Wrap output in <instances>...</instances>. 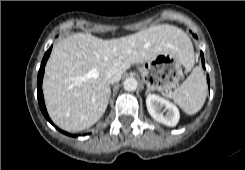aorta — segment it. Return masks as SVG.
I'll return each instance as SVG.
<instances>
[{
	"mask_svg": "<svg viewBox=\"0 0 245 170\" xmlns=\"http://www.w3.org/2000/svg\"><path fill=\"white\" fill-rule=\"evenodd\" d=\"M123 86L126 91H135L138 87V82L135 78L129 77L125 79Z\"/></svg>",
	"mask_w": 245,
	"mask_h": 170,
	"instance_id": "1",
	"label": "aorta"
}]
</instances>
